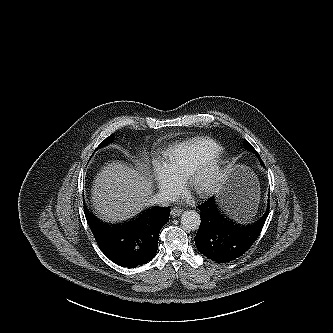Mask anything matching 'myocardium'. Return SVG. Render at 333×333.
I'll return each instance as SVG.
<instances>
[{
	"label": "myocardium",
	"mask_w": 333,
	"mask_h": 333,
	"mask_svg": "<svg viewBox=\"0 0 333 333\" xmlns=\"http://www.w3.org/2000/svg\"><path fill=\"white\" fill-rule=\"evenodd\" d=\"M227 177L221 154L198 164L186 176V186L199 197H208L221 188Z\"/></svg>",
	"instance_id": "f54148a6"
}]
</instances>
